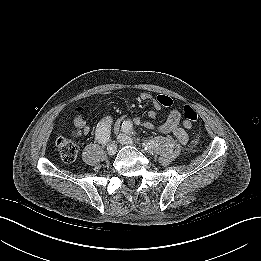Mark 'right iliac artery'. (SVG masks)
I'll list each match as a JSON object with an SVG mask.
<instances>
[{
	"mask_svg": "<svg viewBox=\"0 0 261 261\" xmlns=\"http://www.w3.org/2000/svg\"><path fill=\"white\" fill-rule=\"evenodd\" d=\"M112 123V119L107 117L106 120L98 123L96 129V138L99 140L100 143H105L109 139L110 133V126Z\"/></svg>",
	"mask_w": 261,
	"mask_h": 261,
	"instance_id": "obj_1",
	"label": "right iliac artery"
}]
</instances>
